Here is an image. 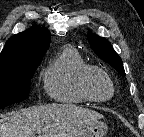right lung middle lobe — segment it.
I'll list each match as a JSON object with an SVG mask.
<instances>
[{
	"instance_id": "right-lung-middle-lobe-1",
	"label": "right lung middle lobe",
	"mask_w": 144,
	"mask_h": 137,
	"mask_svg": "<svg viewBox=\"0 0 144 137\" xmlns=\"http://www.w3.org/2000/svg\"><path fill=\"white\" fill-rule=\"evenodd\" d=\"M41 60L0 65V108L28 97L30 79Z\"/></svg>"
}]
</instances>
